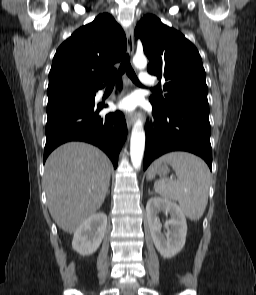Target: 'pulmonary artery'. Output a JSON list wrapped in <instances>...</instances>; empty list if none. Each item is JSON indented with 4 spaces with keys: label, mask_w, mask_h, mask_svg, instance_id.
<instances>
[{
    "label": "pulmonary artery",
    "mask_w": 256,
    "mask_h": 295,
    "mask_svg": "<svg viewBox=\"0 0 256 295\" xmlns=\"http://www.w3.org/2000/svg\"><path fill=\"white\" fill-rule=\"evenodd\" d=\"M139 77L140 82L144 85H153L155 83L154 79L147 72H141Z\"/></svg>",
    "instance_id": "e3ab8cb5"
}]
</instances>
